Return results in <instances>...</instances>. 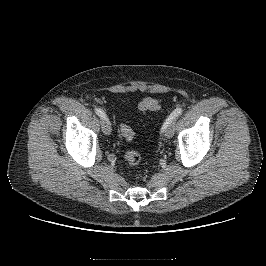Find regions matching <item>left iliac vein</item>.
I'll return each mask as SVG.
<instances>
[{"label": "left iliac vein", "mask_w": 266, "mask_h": 266, "mask_svg": "<svg viewBox=\"0 0 266 266\" xmlns=\"http://www.w3.org/2000/svg\"><path fill=\"white\" fill-rule=\"evenodd\" d=\"M174 135V126L173 123L168 124V126L166 127L165 130V136L167 138H172V136Z\"/></svg>", "instance_id": "obj_1"}]
</instances>
